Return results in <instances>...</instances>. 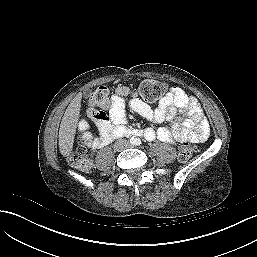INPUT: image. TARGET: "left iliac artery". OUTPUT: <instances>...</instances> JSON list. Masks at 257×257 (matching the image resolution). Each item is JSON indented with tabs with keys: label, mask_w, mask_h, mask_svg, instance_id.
<instances>
[{
	"label": "left iliac artery",
	"mask_w": 257,
	"mask_h": 257,
	"mask_svg": "<svg viewBox=\"0 0 257 257\" xmlns=\"http://www.w3.org/2000/svg\"><path fill=\"white\" fill-rule=\"evenodd\" d=\"M141 144V140L140 139H137L136 140V145H140Z\"/></svg>",
	"instance_id": "obj_1"
}]
</instances>
